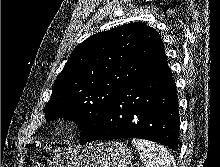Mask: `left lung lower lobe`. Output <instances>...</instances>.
<instances>
[{"label":"left lung lower lobe","mask_w":220,"mask_h":167,"mask_svg":"<svg viewBox=\"0 0 220 167\" xmlns=\"http://www.w3.org/2000/svg\"><path fill=\"white\" fill-rule=\"evenodd\" d=\"M176 85L167 60L123 85L111 100L96 134L81 144L115 138H141L178 148Z\"/></svg>","instance_id":"left-lung-lower-lobe-1"}]
</instances>
